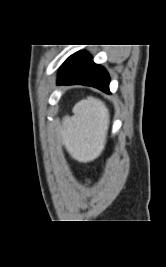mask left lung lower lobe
<instances>
[{
	"label": "left lung lower lobe",
	"mask_w": 166,
	"mask_h": 267,
	"mask_svg": "<svg viewBox=\"0 0 166 267\" xmlns=\"http://www.w3.org/2000/svg\"><path fill=\"white\" fill-rule=\"evenodd\" d=\"M109 75L107 71L93 62L87 52L71 55L61 66L58 85L82 84L93 86L103 92H109Z\"/></svg>",
	"instance_id": "obj_1"
}]
</instances>
